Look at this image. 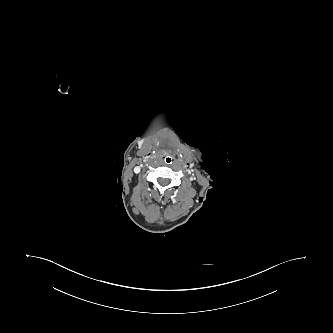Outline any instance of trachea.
<instances>
[{"instance_id":"3493384b","label":"trachea","mask_w":333,"mask_h":333,"mask_svg":"<svg viewBox=\"0 0 333 333\" xmlns=\"http://www.w3.org/2000/svg\"><path fill=\"white\" fill-rule=\"evenodd\" d=\"M162 163L166 167H171L175 163V158L171 154H165L162 157Z\"/></svg>"}]
</instances>
